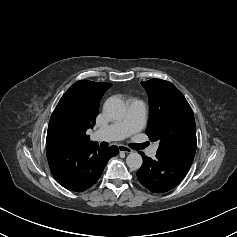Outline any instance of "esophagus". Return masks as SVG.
<instances>
[{
  "label": "esophagus",
  "mask_w": 237,
  "mask_h": 237,
  "mask_svg": "<svg viewBox=\"0 0 237 237\" xmlns=\"http://www.w3.org/2000/svg\"><path fill=\"white\" fill-rule=\"evenodd\" d=\"M118 148H119V151L122 153H131L133 151L132 149L124 145H119Z\"/></svg>",
  "instance_id": "obj_1"
}]
</instances>
